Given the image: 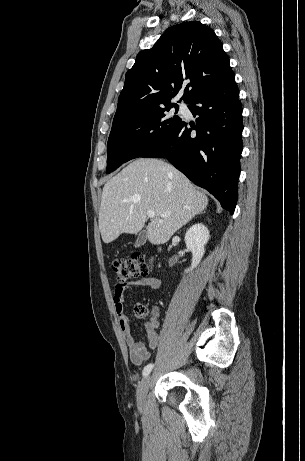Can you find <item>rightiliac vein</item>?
Returning a JSON list of instances; mask_svg holds the SVG:
<instances>
[{"label": "right iliac vein", "instance_id": "63e3f726", "mask_svg": "<svg viewBox=\"0 0 305 461\" xmlns=\"http://www.w3.org/2000/svg\"><path fill=\"white\" fill-rule=\"evenodd\" d=\"M151 378L150 376H146L145 378L142 379L140 382L138 388H137V404L140 408H142L145 404L146 401V395L150 386Z\"/></svg>", "mask_w": 305, "mask_h": 461}]
</instances>
